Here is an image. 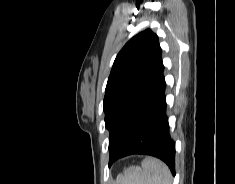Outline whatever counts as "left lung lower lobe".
Segmentation results:
<instances>
[{"label":"left lung lower lobe","mask_w":235,"mask_h":184,"mask_svg":"<svg viewBox=\"0 0 235 184\" xmlns=\"http://www.w3.org/2000/svg\"><path fill=\"white\" fill-rule=\"evenodd\" d=\"M163 71L164 66L150 98L135 121L128 140L119 153L109 161V166L121 157L144 154L161 159L175 175V142L169 134Z\"/></svg>","instance_id":"0a47b994"}]
</instances>
